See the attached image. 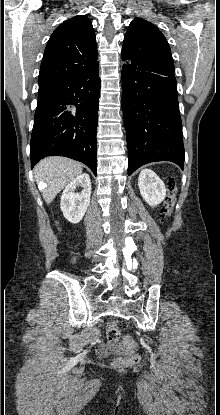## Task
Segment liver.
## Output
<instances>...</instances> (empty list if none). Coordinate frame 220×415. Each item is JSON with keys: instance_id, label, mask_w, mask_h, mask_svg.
Instances as JSON below:
<instances>
[{"instance_id": "6515ba94", "label": "liver", "mask_w": 220, "mask_h": 415, "mask_svg": "<svg viewBox=\"0 0 220 415\" xmlns=\"http://www.w3.org/2000/svg\"><path fill=\"white\" fill-rule=\"evenodd\" d=\"M81 173L80 163L64 157L46 158L34 168L36 181L45 186L42 196L47 204H50L57 194Z\"/></svg>"}]
</instances>
